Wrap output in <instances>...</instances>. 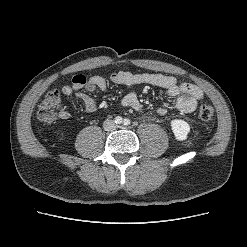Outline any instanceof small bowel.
Listing matches in <instances>:
<instances>
[{"instance_id": "1", "label": "small bowel", "mask_w": 247, "mask_h": 247, "mask_svg": "<svg viewBox=\"0 0 247 247\" xmlns=\"http://www.w3.org/2000/svg\"><path fill=\"white\" fill-rule=\"evenodd\" d=\"M110 80L119 85H123L128 89V92L123 96L121 104L124 107H129L137 111L143 110V105L139 101L135 88L139 85L148 84L166 92L169 97L175 98L174 108L182 113L193 112L198 104L203 100L202 90L191 83L179 84L177 79L173 76L162 74H134L128 71H116L110 75ZM108 88L107 80L100 75H92L86 77L84 75H75L71 80V85L62 87L61 92L64 96L74 94L84 104L85 109L93 112L97 109V102L88 94L84 93L82 89L88 92L95 90L106 91ZM156 112L160 116L168 113L166 107H158ZM59 118L68 120L71 114L66 110H61Z\"/></svg>"}]
</instances>
